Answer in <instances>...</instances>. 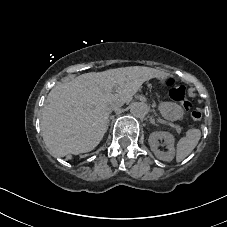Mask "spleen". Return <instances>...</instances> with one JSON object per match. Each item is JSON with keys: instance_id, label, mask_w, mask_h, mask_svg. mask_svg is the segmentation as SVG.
<instances>
[{"instance_id": "1", "label": "spleen", "mask_w": 227, "mask_h": 227, "mask_svg": "<svg viewBox=\"0 0 227 227\" xmlns=\"http://www.w3.org/2000/svg\"><path fill=\"white\" fill-rule=\"evenodd\" d=\"M200 138L201 131L199 129H189L185 137L176 143V162L180 163L189 156L199 143Z\"/></svg>"}]
</instances>
